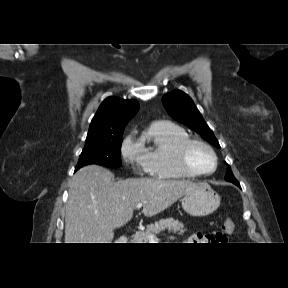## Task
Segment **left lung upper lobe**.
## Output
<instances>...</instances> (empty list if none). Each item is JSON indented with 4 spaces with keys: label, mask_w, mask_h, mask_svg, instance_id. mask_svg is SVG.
<instances>
[{
    "label": "left lung upper lobe",
    "mask_w": 288,
    "mask_h": 288,
    "mask_svg": "<svg viewBox=\"0 0 288 288\" xmlns=\"http://www.w3.org/2000/svg\"><path fill=\"white\" fill-rule=\"evenodd\" d=\"M162 102L173 119L190 127L209 143L220 147L213 131L208 127L194 102L186 93L180 90L167 93L162 97ZM225 180L229 182L237 181L229 166Z\"/></svg>",
    "instance_id": "left-lung-upper-lobe-1"
}]
</instances>
